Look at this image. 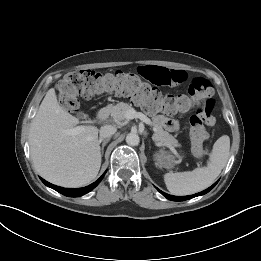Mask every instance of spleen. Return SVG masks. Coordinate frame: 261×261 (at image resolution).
<instances>
[{"label": "spleen", "mask_w": 261, "mask_h": 261, "mask_svg": "<svg viewBox=\"0 0 261 261\" xmlns=\"http://www.w3.org/2000/svg\"><path fill=\"white\" fill-rule=\"evenodd\" d=\"M230 151V138L221 136L213 145L206 167L193 171L166 173L164 182L173 195L183 196L200 192L209 187L225 167Z\"/></svg>", "instance_id": "3e777b00"}]
</instances>
